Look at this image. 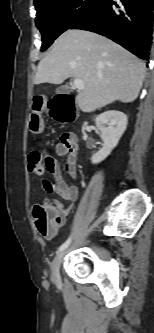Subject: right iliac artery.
<instances>
[{
    "label": "right iliac artery",
    "instance_id": "obj_1",
    "mask_svg": "<svg viewBox=\"0 0 154 333\" xmlns=\"http://www.w3.org/2000/svg\"><path fill=\"white\" fill-rule=\"evenodd\" d=\"M71 242V236L59 247L58 251L64 250Z\"/></svg>",
    "mask_w": 154,
    "mask_h": 333
}]
</instances>
